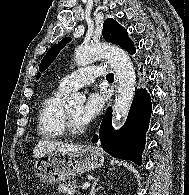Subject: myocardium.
<instances>
[{
  "label": "myocardium",
  "instance_id": "obj_1",
  "mask_svg": "<svg viewBox=\"0 0 189 195\" xmlns=\"http://www.w3.org/2000/svg\"><path fill=\"white\" fill-rule=\"evenodd\" d=\"M63 125H64V131L70 135L78 136L85 133V128L77 127L73 121L72 118L66 108H64L63 111Z\"/></svg>",
  "mask_w": 189,
  "mask_h": 195
}]
</instances>
